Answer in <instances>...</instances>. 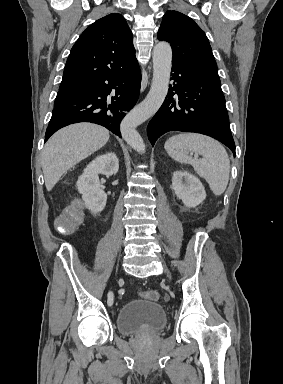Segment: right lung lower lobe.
<instances>
[{
    "instance_id": "right-lung-lower-lobe-1",
    "label": "right lung lower lobe",
    "mask_w": 283,
    "mask_h": 384,
    "mask_svg": "<svg viewBox=\"0 0 283 384\" xmlns=\"http://www.w3.org/2000/svg\"><path fill=\"white\" fill-rule=\"evenodd\" d=\"M141 83L139 65L126 73L94 81L81 88L76 96L53 109L45 142L58 129L78 122L102 125L121 137L120 123L137 102ZM115 90V96L107 98Z\"/></svg>"
}]
</instances>
